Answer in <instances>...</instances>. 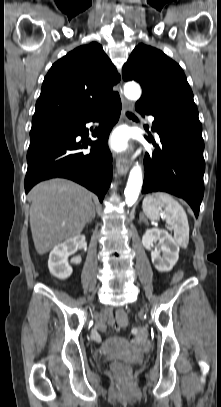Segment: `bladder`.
<instances>
[{
    "instance_id": "31cf9c89",
    "label": "bladder",
    "mask_w": 221,
    "mask_h": 407,
    "mask_svg": "<svg viewBox=\"0 0 221 407\" xmlns=\"http://www.w3.org/2000/svg\"><path fill=\"white\" fill-rule=\"evenodd\" d=\"M124 346H125V343L122 340H120L118 338H112L109 340L106 350L110 353H117Z\"/></svg>"
}]
</instances>
